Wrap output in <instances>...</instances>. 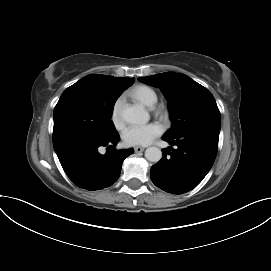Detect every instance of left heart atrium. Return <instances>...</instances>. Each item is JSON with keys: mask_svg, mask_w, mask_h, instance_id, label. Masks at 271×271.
Masks as SVG:
<instances>
[{"mask_svg": "<svg viewBox=\"0 0 271 271\" xmlns=\"http://www.w3.org/2000/svg\"><path fill=\"white\" fill-rule=\"evenodd\" d=\"M163 132L157 123L130 125L123 132V140L129 146H145L159 137Z\"/></svg>", "mask_w": 271, "mask_h": 271, "instance_id": "39dd6f15", "label": "left heart atrium"}]
</instances>
